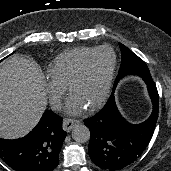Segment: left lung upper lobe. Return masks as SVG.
I'll list each match as a JSON object with an SVG mask.
<instances>
[{
  "label": "left lung upper lobe",
  "mask_w": 171,
  "mask_h": 171,
  "mask_svg": "<svg viewBox=\"0 0 171 171\" xmlns=\"http://www.w3.org/2000/svg\"><path fill=\"white\" fill-rule=\"evenodd\" d=\"M119 46L122 52V61L114 87L122 77L127 75H138L144 81L151 79L152 77L146 63L123 44L119 43Z\"/></svg>",
  "instance_id": "1"
}]
</instances>
